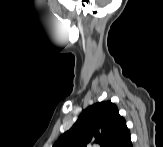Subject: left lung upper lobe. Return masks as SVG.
<instances>
[{
	"instance_id": "left-lung-upper-lobe-1",
	"label": "left lung upper lobe",
	"mask_w": 163,
	"mask_h": 147,
	"mask_svg": "<svg viewBox=\"0 0 163 147\" xmlns=\"http://www.w3.org/2000/svg\"><path fill=\"white\" fill-rule=\"evenodd\" d=\"M125 119L111 101H102L86 108L75 124L54 143L53 147H114L126 128Z\"/></svg>"
}]
</instances>
